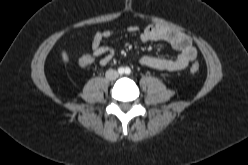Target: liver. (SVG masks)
<instances>
[{"label": "liver", "mask_w": 248, "mask_h": 165, "mask_svg": "<svg viewBox=\"0 0 248 165\" xmlns=\"http://www.w3.org/2000/svg\"><path fill=\"white\" fill-rule=\"evenodd\" d=\"M62 59L65 63H67L69 61L68 55L65 51H62Z\"/></svg>", "instance_id": "6515ba94"}]
</instances>
